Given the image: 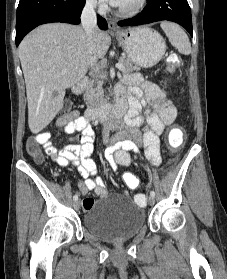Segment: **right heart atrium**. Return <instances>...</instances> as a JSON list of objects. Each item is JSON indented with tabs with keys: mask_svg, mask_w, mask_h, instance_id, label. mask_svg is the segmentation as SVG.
<instances>
[{
	"mask_svg": "<svg viewBox=\"0 0 227 279\" xmlns=\"http://www.w3.org/2000/svg\"><path fill=\"white\" fill-rule=\"evenodd\" d=\"M104 0H86L87 4L90 7H98L99 9L103 8V2Z\"/></svg>",
	"mask_w": 227,
	"mask_h": 279,
	"instance_id": "d8ad5b80",
	"label": "right heart atrium"
}]
</instances>
